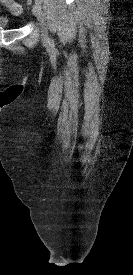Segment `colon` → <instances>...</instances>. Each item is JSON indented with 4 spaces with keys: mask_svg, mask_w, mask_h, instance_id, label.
<instances>
[{
    "mask_svg": "<svg viewBox=\"0 0 133 275\" xmlns=\"http://www.w3.org/2000/svg\"><path fill=\"white\" fill-rule=\"evenodd\" d=\"M9 10L14 13L18 14L21 12V6L18 5L17 3H14L12 0H9V3L7 4Z\"/></svg>",
    "mask_w": 133,
    "mask_h": 275,
    "instance_id": "obj_1",
    "label": "colon"
}]
</instances>
